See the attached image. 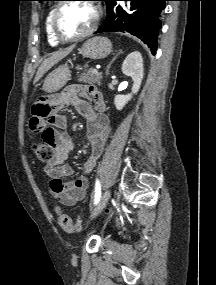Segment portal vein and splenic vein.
<instances>
[{"instance_id": "portal-vein-and-splenic-vein-1", "label": "portal vein and splenic vein", "mask_w": 216, "mask_h": 285, "mask_svg": "<svg viewBox=\"0 0 216 285\" xmlns=\"http://www.w3.org/2000/svg\"><path fill=\"white\" fill-rule=\"evenodd\" d=\"M97 72H98V69H93V70H92V73H93V74H96Z\"/></svg>"}]
</instances>
